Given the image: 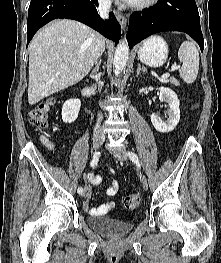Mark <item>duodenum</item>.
I'll list each match as a JSON object with an SVG mask.
<instances>
[{"instance_id": "obj_1", "label": "duodenum", "mask_w": 221, "mask_h": 263, "mask_svg": "<svg viewBox=\"0 0 221 263\" xmlns=\"http://www.w3.org/2000/svg\"><path fill=\"white\" fill-rule=\"evenodd\" d=\"M81 94L83 97H89L91 95V90L87 88L83 89Z\"/></svg>"}]
</instances>
